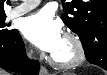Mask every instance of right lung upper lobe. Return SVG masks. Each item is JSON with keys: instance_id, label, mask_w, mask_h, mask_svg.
<instances>
[{"instance_id": "1", "label": "right lung upper lobe", "mask_w": 107, "mask_h": 75, "mask_svg": "<svg viewBox=\"0 0 107 75\" xmlns=\"http://www.w3.org/2000/svg\"><path fill=\"white\" fill-rule=\"evenodd\" d=\"M3 5H4V0H0V15L5 14Z\"/></svg>"}]
</instances>
